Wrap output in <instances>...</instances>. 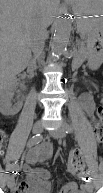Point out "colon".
<instances>
[{
    "label": "colon",
    "mask_w": 103,
    "mask_h": 193,
    "mask_svg": "<svg viewBox=\"0 0 103 193\" xmlns=\"http://www.w3.org/2000/svg\"><path fill=\"white\" fill-rule=\"evenodd\" d=\"M95 128H96V140L98 143L103 142V122H102V107L98 108L97 116L95 118ZM4 132L0 136V144L4 141ZM68 168L72 173H83L85 171V161L80 151H74L68 163Z\"/></svg>",
    "instance_id": "colon-1"
}]
</instances>
